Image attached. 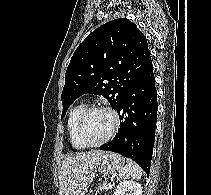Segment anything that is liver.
I'll return each mask as SVG.
<instances>
[{
    "instance_id": "1",
    "label": "liver",
    "mask_w": 211,
    "mask_h": 195,
    "mask_svg": "<svg viewBox=\"0 0 211 195\" xmlns=\"http://www.w3.org/2000/svg\"><path fill=\"white\" fill-rule=\"evenodd\" d=\"M103 152L92 151L66 157L61 165L59 181L61 195H85L93 177L96 160Z\"/></svg>"
}]
</instances>
